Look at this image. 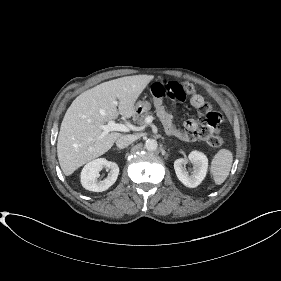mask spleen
I'll return each mask as SVG.
<instances>
[{
  "mask_svg": "<svg viewBox=\"0 0 281 281\" xmlns=\"http://www.w3.org/2000/svg\"><path fill=\"white\" fill-rule=\"evenodd\" d=\"M233 154L228 149L219 150L212 159L210 171L215 184L221 185L229 175Z\"/></svg>",
  "mask_w": 281,
  "mask_h": 281,
  "instance_id": "1",
  "label": "spleen"
}]
</instances>
